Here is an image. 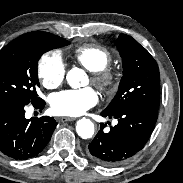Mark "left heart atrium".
Masks as SVG:
<instances>
[{"mask_svg":"<svg viewBox=\"0 0 183 183\" xmlns=\"http://www.w3.org/2000/svg\"><path fill=\"white\" fill-rule=\"evenodd\" d=\"M97 102L98 95L91 87L63 90L53 94L50 99L52 111L62 116L81 115Z\"/></svg>","mask_w":183,"mask_h":183,"instance_id":"obj_1","label":"left heart atrium"}]
</instances>
